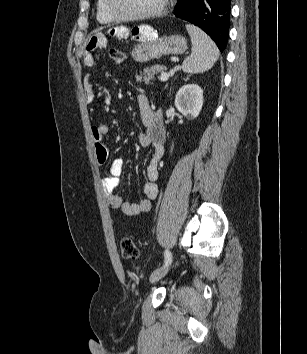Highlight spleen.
I'll return each mask as SVG.
<instances>
[{
	"instance_id": "obj_1",
	"label": "spleen",
	"mask_w": 307,
	"mask_h": 354,
	"mask_svg": "<svg viewBox=\"0 0 307 354\" xmlns=\"http://www.w3.org/2000/svg\"><path fill=\"white\" fill-rule=\"evenodd\" d=\"M192 42V52L182 64L186 73H203L213 67L219 58V51L212 39L194 25H186Z\"/></svg>"
}]
</instances>
